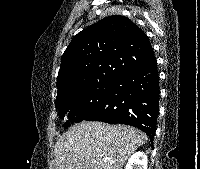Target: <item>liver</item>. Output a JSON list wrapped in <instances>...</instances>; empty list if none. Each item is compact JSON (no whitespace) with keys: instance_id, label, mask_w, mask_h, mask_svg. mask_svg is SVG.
Segmentation results:
<instances>
[{"instance_id":"liver-1","label":"liver","mask_w":200,"mask_h":169,"mask_svg":"<svg viewBox=\"0 0 200 169\" xmlns=\"http://www.w3.org/2000/svg\"><path fill=\"white\" fill-rule=\"evenodd\" d=\"M147 139L145 133L131 126L83 121L57 140L54 169H122Z\"/></svg>"}]
</instances>
